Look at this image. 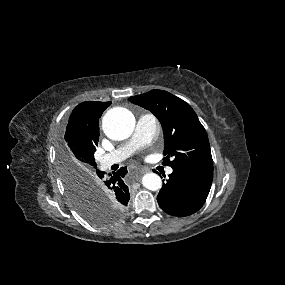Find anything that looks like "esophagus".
Returning a JSON list of instances; mask_svg holds the SVG:
<instances>
[{
    "mask_svg": "<svg viewBox=\"0 0 285 285\" xmlns=\"http://www.w3.org/2000/svg\"><path fill=\"white\" fill-rule=\"evenodd\" d=\"M148 172H150V168H148V167H142V168H141V173H142V174L148 173Z\"/></svg>",
    "mask_w": 285,
    "mask_h": 285,
    "instance_id": "obj_1",
    "label": "esophagus"
}]
</instances>
